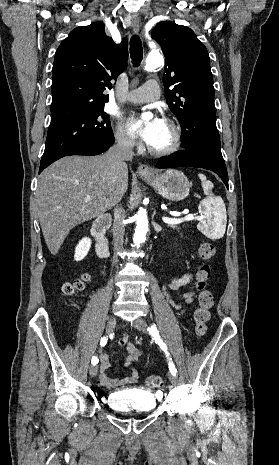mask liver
<instances>
[{
  "mask_svg": "<svg viewBox=\"0 0 279 465\" xmlns=\"http://www.w3.org/2000/svg\"><path fill=\"white\" fill-rule=\"evenodd\" d=\"M127 189L128 168L116 174L105 154L67 156L47 167L39 176L35 202L51 254L58 253L72 228L104 214ZM86 195L92 199L86 201Z\"/></svg>",
  "mask_w": 279,
  "mask_h": 465,
  "instance_id": "liver-1",
  "label": "liver"
}]
</instances>
